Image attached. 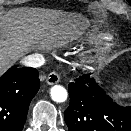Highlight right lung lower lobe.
I'll return each mask as SVG.
<instances>
[{"label":"right lung lower lobe","mask_w":131,"mask_h":131,"mask_svg":"<svg viewBox=\"0 0 131 131\" xmlns=\"http://www.w3.org/2000/svg\"><path fill=\"white\" fill-rule=\"evenodd\" d=\"M35 68L12 67L0 78V131H22L29 104L39 90Z\"/></svg>","instance_id":"1"}]
</instances>
